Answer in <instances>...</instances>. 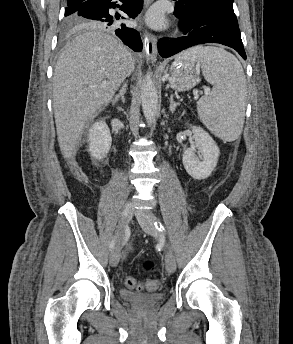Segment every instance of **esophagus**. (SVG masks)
Listing matches in <instances>:
<instances>
[{
	"mask_svg": "<svg viewBox=\"0 0 293 344\" xmlns=\"http://www.w3.org/2000/svg\"><path fill=\"white\" fill-rule=\"evenodd\" d=\"M153 0H145L146 8L151 4ZM157 37L154 34L146 33L144 39V48L147 55L148 60L151 63H155L157 60Z\"/></svg>",
	"mask_w": 293,
	"mask_h": 344,
	"instance_id": "1",
	"label": "esophagus"
}]
</instances>
